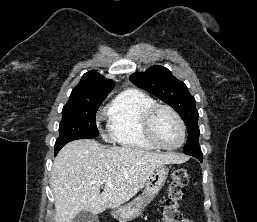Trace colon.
Returning a JSON list of instances; mask_svg holds the SVG:
<instances>
[{
  "instance_id": "colon-1",
  "label": "colon",
  "mask_w": 257,
  "mask_h": 222,
  "mask_svg": "<svg viewBox=\"0 0 257 222\" xmlns=\"http://www.w3.org/2000/svg\"><path fill=\"white\" fill-rule=\"evenodd\" d=\"M188 179V172L184 168H177L172 172L167 199L158 222H182L180 203L185 198Z\"/></svg>"
}]
</instances>
